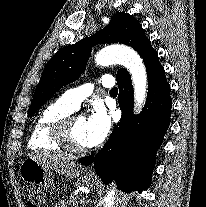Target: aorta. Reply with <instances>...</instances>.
Here are the masks:
<instances>
[{"label":"aorta","mask_w":206,"mask_h":207,"mask_svg":"<svg viewBox=\"0 0 206 207\" xmlns=\"http://www.w3.org/2000/svg\"><path fill=\"white\" fill-rule=\"evenodd\" d=\"M97 65L107 66L118 63L125 66L131 74L134 86L135 107L138 112L143 107L147 96V74L141 57L133 49L126 46H109L95 56ZM115 187L105 197L104 207H113Z\"/></svg>","instance_id":"obj_1"}]
</instances>
